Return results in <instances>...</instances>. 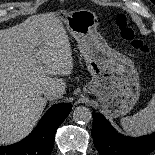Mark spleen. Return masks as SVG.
Listing matches in <instances>:
<instances>
[{
    "instance_id": "1",
    "label": "spleen",
    "mask_w": 155,
    "mask_h": 155,
    "mask_svg": "<svg viewBox=\"0 0 155 155\" xmlns=\"http://www.w3.org/2000/svg\"><path fill=\"white\" fill-rule=\"evenodd\" d=\"M123 130L132 136H141L155 131V94L148 105L138 113L121 119Z\"/></svg>"
}]
</instances>
